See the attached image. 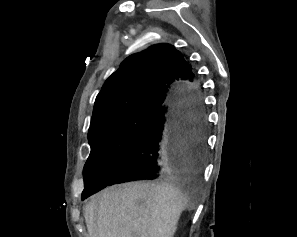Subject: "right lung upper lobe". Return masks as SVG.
<instances>
[{
	"label": "right lung upper lobe",
	"mask_w": 297,
	"mask_h": 237,
	"mask_svg": "<svg viewBox=\"0 0 297 237\" xmlns=\"http://www.w3.org/2000/svg\"><path fill=\"white\" fill-rule=\"evenodd\" d=\"M194 80L191 66L170 44H157L122 62L97 95L90 128L136 112L152 113L165 106L172 90Z\"/></svg>",
	"instance_id": "cb5924a9"
}]
</instances>
